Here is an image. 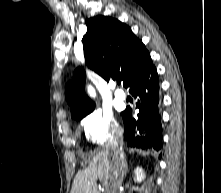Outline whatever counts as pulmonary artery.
I'll use <instances>...</instances> for the list:
<instances>
[{"mask_svg": "<svg viewBox=\"0 0 221 193\" xmlns=\"http://www.w3.org/2000/svg\"><path fill=\"white\" fill-rule=\"evenodd\" d=\"M112 87L115 88V84H112ZM115 97L119 100H125L126 99V93L122 89H115Z\"/></svg>", "mask_w": 221, "mask_h": 193, "instance_id": "1", "label": "pulmonary artery"}]
</instances>
